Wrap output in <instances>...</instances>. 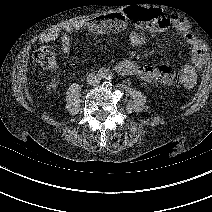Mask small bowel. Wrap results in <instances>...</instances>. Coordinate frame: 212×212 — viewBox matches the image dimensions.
Segmentation results:
<instances>
[{
    "label": "small bowel",
    "instance_id": "1",
    "mask_svg": "<svg viewBox=\"0 0 212 212\" xmlns=\"http://www.w3.org/2000/svg\"><path fill=\"white\" fill-rule=\"evenodd\" d=\"M126 20H131L135 29H140L145 22H149L152 26L160 29L167 28L170 25H173L180 30L186 28L185 22L182 19H172L157 8L131 5L120 12L103 15L100 17L98 23L76 21L56 25L42 34L39 41L41 43H48L60 39L63 54L69 55L71 53V41L67 34L80 29H87L98 33H119L125 29L127 24ZM134 36L138 37L137 34ZM187 45L192 64H183L180 68L179 74V81L185 86L194 84V65H199L201 63L202 56L193 39L188 38ZM117 69L124 75H136L146 81H149L154 77V70L152 67L147 65L138 66L128 60L119 63Z\"/></svg>",
    "mask_w": 212,
    "mask_h": 212
}]
</instances>
